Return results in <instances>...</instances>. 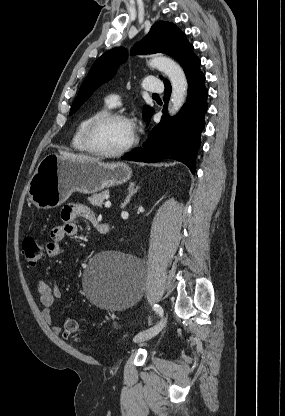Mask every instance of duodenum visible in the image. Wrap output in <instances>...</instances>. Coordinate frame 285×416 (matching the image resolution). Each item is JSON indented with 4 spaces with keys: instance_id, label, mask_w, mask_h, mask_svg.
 Segmentation results:
<instances>
[{
    "instance_id": "410a0bca",
    "label": "duodenum",
    "mask_w": 285,
    "mask_h": 416,
    "mask_svg": "<svg viewBox=\"0 0 285 416\" xmlns=\"http://www.w3.org/2000/svg\"><path fill=\"white\" fill-rule=\"evenodd\" d=\"M95 225H96L98 231L100 232V234L107 235L109 233V227H108L107 224L101 223V222L96 220Z\"/></svg>"
}]
</instances>
